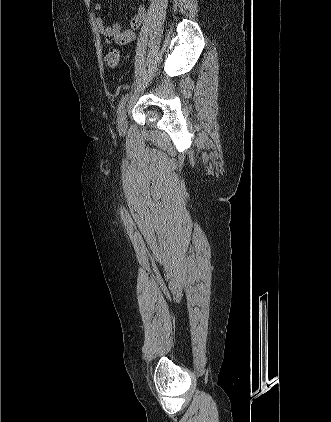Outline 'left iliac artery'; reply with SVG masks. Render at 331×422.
Returning <instances> with one entry per match:
<instances>
[{
    "mask_svg": "<svg viewBox=\"0 0 331 422\" xmlns=\"http://www.w3.org/2000/svg\"><path fill=\"white\" fill-rule=\"evenodd\" d=\"M129 97V93L125 94L122 99L120 100V103L118 105V114L121 112V110L123 109L126 101L128 100Z\"/></svg>",
    "mask_w": 331,
    "mask_h": 422,
    "instance_id": "obj_1",
    "label": "left iliac artery"
}]
</instances>
